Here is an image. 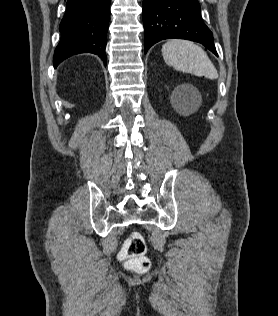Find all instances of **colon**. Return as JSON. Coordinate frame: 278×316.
<instances>
[{"instance_id":"colon-1","label":"colon","mask_w":278,"mask_h":316,"mask_svg":"<svg viewBox=\"0 0 278 316\" xmlns=\"http://www.w3.org/2000/svg\"><path fill=\"white\" fill-rule=\"evenodd\" d=\"M147 247L141 233L135 231L124 242L120 252V259L128 267L136 271H146L150 267L149 260L145 257Z\"/></svg>"}]
</instances>
